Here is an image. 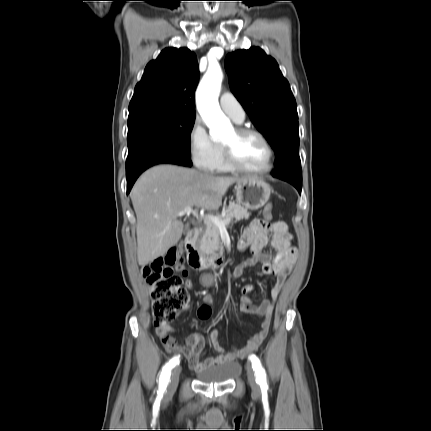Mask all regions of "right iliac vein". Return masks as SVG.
Here are the masks:
<instances>
[{"instance_id":"obj_1","label":"right iliac vein","mask_w":431,"mask_h":431,"mask_svg":"<svg viewBox=\"0 0 431 431\" xmlns=\"http://www.w3.org/2000/svg\"><path fill=\"white\" fill-rule=\"evenodd\" d=\"M180 373H181V367L176 366L172 371L170 383L168 385V391L169 392H172L176 389L178 381H179Z\"/></svg>"}]
</instances>
